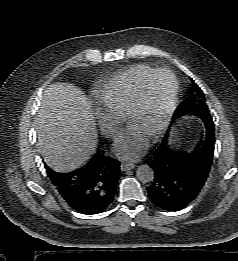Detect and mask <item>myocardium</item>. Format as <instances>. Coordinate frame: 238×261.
Masks as SVG:
<instances>
[{
	"label": "myocardium",
	"instance_id": "1",
	"mask_svg": "<svg viewBox=\"0 0 238 261\" xmlns=\"http://www.w3.org/2000/svg\"><path fill=\"white\" fill-rule=\"evenodd\" d=\"M163 73H168L172 76L173 81H174V88L172 91V94L170 96V99L167 103V106L165 108L164 114L156 127L152 130L150 133L151 136L157 137L159 136L169 125L173 113L176 108L177 100H178V95H179V80L177 75L168 68H159L151 72L149 75H147L142 82L139 85V88L137 90L136 96L133 100L132 105L130 106L128 113H127V120L130 122L132 118L141 111L143 108L144 102H145V96H146V89L148 84L158 75L163 74Z\"/></svg>",
	"mask_w": 238,
	"mask_h": 261
}]
</instances>
